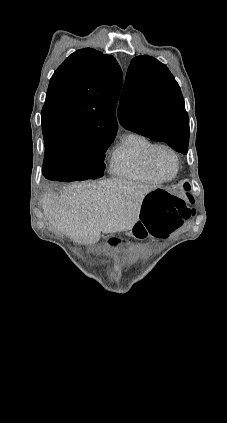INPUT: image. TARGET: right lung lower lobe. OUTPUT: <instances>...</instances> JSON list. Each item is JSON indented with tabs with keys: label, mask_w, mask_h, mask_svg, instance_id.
Returning <instances> with one entry per match:
<instances>
[{
	"label": "right lung lower lobe",
	"mask_w": 227,
	"mask_h": 423,
	"mask_svg": "<svg viewBox=\"0 0 227 423\" xmlns=\"http://www.w3.org/2000/svg\"><path fill=\"white\" fill-rule=\"evenodd\" d=\"M42 173L49 180L73 181L71 179V168L57 162L43 163Z\"/></svg>",
	"instance_id": "right-lung-lower-lobe-1"
}]
</instances>
